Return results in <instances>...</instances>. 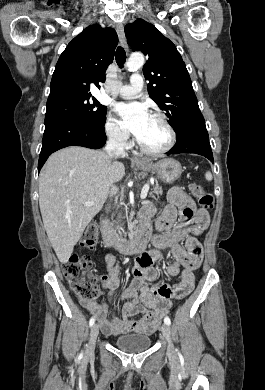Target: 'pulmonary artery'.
I'll return each mask as SVG.
<instances>
[{
  "label": "pulmonary artery",
  "instance_id": "obj_1",
  "mask_svg": "<svg viewBox=\"0 0 265 390\" xmlns=\"http://www.w3.org/2000/svg\"><path fill=\"white\" fill-rule=\"evenodd\" d=\"M143 83V77L140 74H133L129 84L118 86L113 89V92L125 99L134 98L141 91Z\"/></svg>",
  "mask_w": 265,
  "mask_h": 390
}]
</instances>
